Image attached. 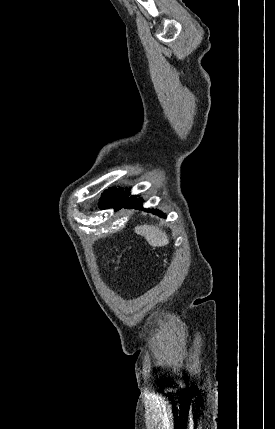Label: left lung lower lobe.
<instances>
[{
	"label": "left lung lower lobe",
	"instance_id": "left-lung-lower-lobe-1",
	"mask_svg": "<svg viewBox=\"0 0 275 429\" xmlns=\"http://www.w3.org/2000/svg\"><path fill=\"white\" fill-rule=\"evenodd\" d=\"M137 197H139V196L138 195H131L130 192L128 191V194H127L125 200L123 201V203L120 205V207L118 209H120L121 207L143 209L145 211L152 212L153 214L158 215L162 218H166L165 214L159 212V210H151V209L143 208L142 207L143 199L142 198L138 199Z\"/></svg>",
	"mask_w": 275,
	"mask_h": 429
}]
</instances>
